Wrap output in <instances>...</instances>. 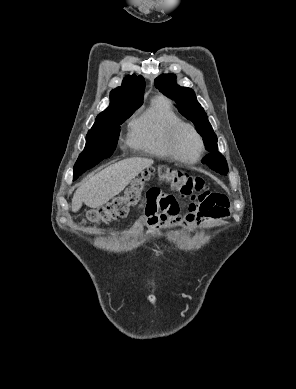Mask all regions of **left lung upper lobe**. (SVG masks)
<instances>
[{"mask_svg":"<svg viewBox=\"0 0 296 389\" xmlns=\"http://www.w3.org/2000/svg\"><path fill=\"white\" fill-rule=\"evenodd\" d=\"M155 86L163 94L176 101L179 105V112L194 123L198 133L203 137L209 154L203 158L202 163L216 172L226 175L228 172L226 159L218 151L217 136L208 121L207 114L198 103L194 91L191 88L179 86L176 83V76L173 74L158 76L155 79Z\"/></svg>","mask_w":296,"mask_h":389,"instance_id":"obj_1","label":"left lung upper lobe"}]
</instances>
